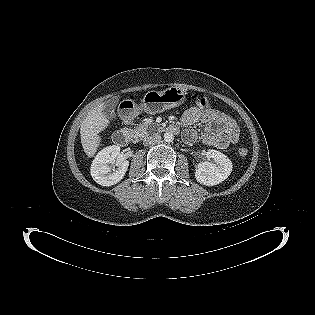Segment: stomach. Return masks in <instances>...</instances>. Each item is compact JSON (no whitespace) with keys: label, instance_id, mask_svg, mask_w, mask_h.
I'll list each match as a JSON object with an SVG mask.
<instances>
[{"label":"stomach","instance_id":"1","mask_svg":"<svg viewBox=\"0 0 315 315\" xmlns=\"http://www.w3.org/2000/svg\"><path fill=\"white\" fill-rule=\"evenodd\" d=\"M186 93L177 87H170L161 92H150L143 103L139 100L124 101L117 108L118 117L124 122L139 121L146 112L155 114L164 109L181 105Z\"/></svg>","mask_w":315,"mask_h":315}]
</instances>
